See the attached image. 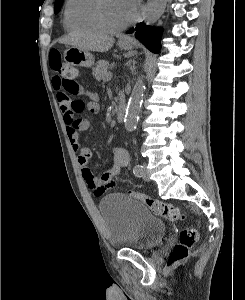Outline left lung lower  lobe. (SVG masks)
<instances>
[{"label": "left lung lower lobe", "instance_id": "obj_1", "mask_svg": "<svg viewBox=\"0 0 245 300\" xmlns=\"http://www.w3.org/2000/svg\"><path fill=\"white\" fill-rule=\"evenodd\" d=\"M135 31V37L139 39L150 51L154 53H159L161 44L162 29L146 26L140 23L135 29L132 28L128 33H133Z\"/></svg>", "mask_w": 245, "mask_h": 300}]
</instances>
